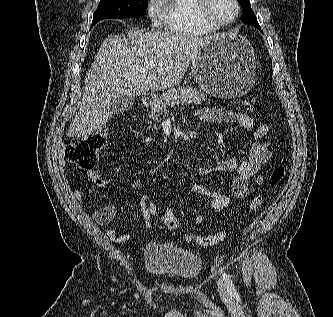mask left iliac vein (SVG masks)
<instances>
[{
  "label": "left iliac vein",
  "mask_w": 333,
  "mask_h": 317,
  "mask_svg": "<svg viewBox=\"0 0 333 317\" xmlns=\"http://www.w3.org/2000/svg\"><path fill=\"white\" fill-rule=\"evenodd\" d=\"M218 291H219L222 298H224V299L229 298V291L227 289V286L224 283V281L221 280V279H219V281H218Z\"/></svg>",
  "instance_id": "obj_1"
}]
</instances>
